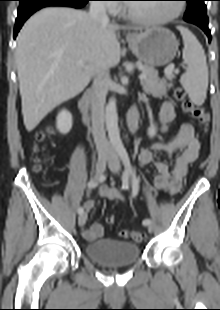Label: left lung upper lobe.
Masks as SVG:
<instances>
[{
    "label": "left lung upper lobe",
    "instance_id": "5c2ea615",
    "mask_svg": "<svg viewBox=\"0 0 220 310\" xmlns=\"http://www.w3.org/2000/svg\"><path fill=\"white\" fill-rule=\"evenodd\" d=\"M187 1V10L184 20L189 23H205L208 24L205 0H185Z\"/></svg>",
    "mask_w": 220,
    "mask_h": 310
}]
</instances>
